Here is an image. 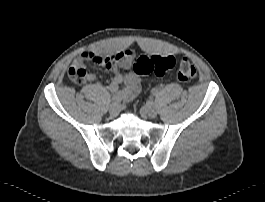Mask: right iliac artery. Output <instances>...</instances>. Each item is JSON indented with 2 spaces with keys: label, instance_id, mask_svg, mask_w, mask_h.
Returning a JSON list of instances; mask_svg holds the SVG:
<instances>
[{
  "label": "right iliac artery",
  "instance_id": "1",
  "mask_svg": "<svg viewBox=\"0 0 265 202\" xmlns=\"http://www.w3.org/2000/svg\"><path fill=\"white\" fill-rule=\"evenodd\" d=\"M120 101H121V97H119L117 95L113 96L112 99H111V103L112 104L119 103Z\"/></svg>",
  "mask_w": 265,
  "mask_h": 202
}]
</instances>
